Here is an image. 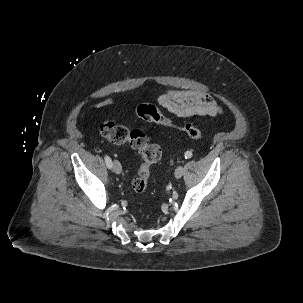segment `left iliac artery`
Segmentation results:
<instances>
[{
	"label": "left iliac artery",
	"instance_id": "left-iliac-artery-1",
	"mask_svg": "<svg viewBox=\"0 0 303 303\" xmlns=\"http://www.w3.org/2000/svg\"><path fill=\"white\" fill-rule=\"evenodd\" d=\"M184 156H185L186 159H189V158L192 157V152L191 151H187V152H185Z\"/></svg>",
	"mask_w": 303,
	"mask_h": 303
}]
</instances>
